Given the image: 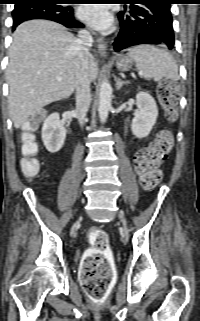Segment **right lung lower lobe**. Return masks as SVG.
<instances>
[{
    "instance_id": "right-lung-lower-lobe-1",
    "label": "right lung lower lobe",
    "mask_w": 200,
    "mask_h": 321,
    "mask_svg": "<svg viewBox=\"0 0 200 321\" xmlns=\"http://www.w3.org/2000/svg\"><path fill=\"white\" fill-rule=\"evenodd\" d=\"M61 2L54 0H32L16 5L12 11L13 27L31 19H46L55 21L69 28H82L84 25L78 22L71 7L59 5Z\"/></svg>"
}]
</instances>
